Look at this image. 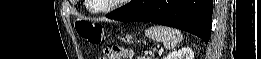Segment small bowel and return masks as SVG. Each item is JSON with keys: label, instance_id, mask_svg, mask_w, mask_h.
<instances>
[{"label": "small bowel", "instance_id": "obj_1", "mask_svg": "<svg viewBox=\"0 0 261 59\" xmlns=\"http://www.w3.org/2000/svg\"><path fill=\"white\" fill-rule=\"evenodd\" d=\"M129 58H132V54H131V57H129ZM119 59H121V58H119Z\"/></svg>", "mask_w": 261, "mask_h": 59}]
</instances>
